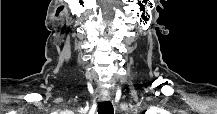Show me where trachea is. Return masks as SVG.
I'll use <instances>...</instances> for the list:
<instances>
[{"mask_svg": "<svg viewBox=\"0 0 217 114\" xmlns=\"http://www.w3.org/2000/svg\"><path fill=\"white\" fill-rule=\"evenodd\" d=\"M114 109L110 101L99 102L98 114H113Z\"/></svg>", "mask_w": 217, "mask_h": 114, "instance_id": "1", "label": "trachea"}]
</instances>
